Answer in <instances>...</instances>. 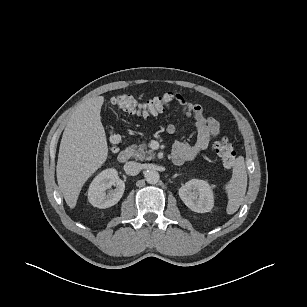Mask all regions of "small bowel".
Segmentation results:
<instances>
[{
    "mask_svg": "<svg viewBox=\"0 0 307 307\" xmlns=\"http://www.w3.org/2000/svg\"><path fill=\"white\" fill-rule=\"evenodd\" d=\"M170 94L173 99L180 104L183 114L195 119V127L197 131L196 142L193 146L182 141H176L173 144L172 158L174 163L180 165L196 158L201 154V152L208 148L210 141L218 136L220 132V124L215 118L205 117L203 114V108L200 104L188 101L179 93ZM166 132L174 134L176 132V126L174 124H168Z\"/></svg>",
    "mask_w": 307,
    "mask_h": 307,
    "instance_id": "c3829d8e",
    "label": "small bowel"
}]
</instances>
